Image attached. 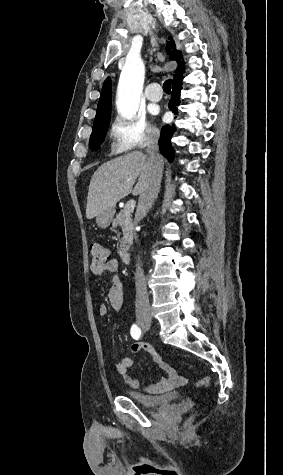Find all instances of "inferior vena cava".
Instances as JSON below:
<instances>
[{"instance_id":"1","label":"inferior vena cava","mask_w":283,"mask_h":475,"mask_svg":"<svg viewBox=\"0 0 283 475\" xmlns=\"http://www.w3.org/2000/svg\"><path fill=\"white\" fill-rule=\"evenodd\" d=\"M158 152V138H153V140L149 142L146 150L147 160L149 162V168H147V174L149 178L148 184H146L143 194H140L137 206V214L140 216V218L146 216L147 212H149L150 208H152L154 200L160 190L163 172V160H161V156H159ZM136 265V313H149L151 307L147 293L146 277L141 267V263L137 261Z\"/></svg>"}]
</instances>
